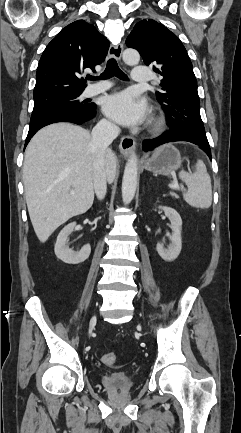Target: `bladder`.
I'll return each mask as SVG.
<instances>
[{"label": "bladder", "mask_w": 241, "mask_h": 433, "mask_svg": "<svg viewBox=\"0 0 241 433\" xmlns=\"http://www.w3.org/2000/svg\"><path fill=\"white\" fill-rule=\"evenodd\" d=\"M134 376L127 372L115 371L101 377L102 384L115 391H127L134 386Z\"/></svg>", "instance_id": "1"}]
</instances>
